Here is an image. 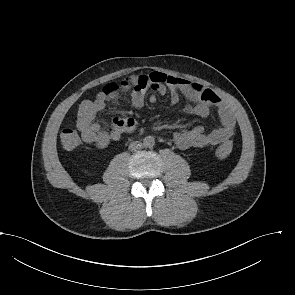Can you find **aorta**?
I'll use <instances>...</instances> for the list:
<instances>
[{"label": "aorta", "instance_id": "obj_1", "mask_svg": "<svg viewBox=\"0 0 295 295\" xmlns=\"http://www.w3.org/2000/svg\"><path fill=\"white\" fill-rule=\"evenodd\" d=\"M155 144V140L152 136H146L143 139V146L144 147H152Z\"/></svg>", "mask_w": 295, "mask_h": 295}]
</instances>
